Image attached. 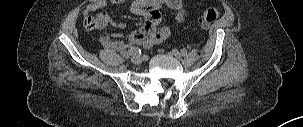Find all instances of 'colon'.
Segmentation results:
<instances>
[{"mask_svg": "<svg viewBox=\"0 0 303 127\" xmlns=\"http://www.w3.org/2000/svg\"><path fill=\"white\" fill-rule=\"evenodd\" d=\"M219 17L218 9L214 7H209L204 10L202 17H201V25L203 28H208L213 22H215ZM84 23L86 27L90 30L95 29L96 27V20L93 16L87 15L85 17Z\"/></svg>", "mask_w": 303, "mask_h": 127, "instance_id": "5ec220e1", "label": "colon"}]
</instances>
